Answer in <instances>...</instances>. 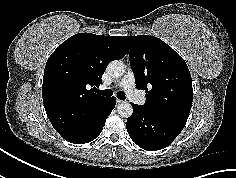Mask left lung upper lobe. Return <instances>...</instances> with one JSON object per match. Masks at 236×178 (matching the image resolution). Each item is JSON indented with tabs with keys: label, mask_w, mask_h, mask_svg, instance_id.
<instances>
[{
	"label": "left lung upper lobe",
	"mask_w": 236,
	"mask_h": 178,
	"mask_svg": "<svg viewBox=\"0 0 236 178\" xmlns=\"http://www.w3.org/2000/svg\"><path fill=\"white\" fill-rule=\"evenodd\" d=\"M136 85L146 91L147 110L187 121L193 100L192 79L186 62L161 39L125 36Z\"/></svg>",
	"instance_id": "1"
}]
</instances>
